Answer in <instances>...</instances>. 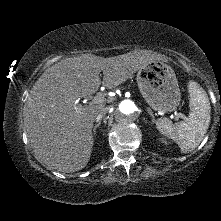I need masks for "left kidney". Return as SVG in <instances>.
Returning <instances> with one entry per match:
<instances>
[{
  "label": "left kidney",
  "instance_id": "1",
  "mask_svg": "<svg viewBox=\"0 0 221 221\" xmlns=\"http://www.w3.org/2000/svg\"><path fill=\"white\" fill-rule=\"evenodd\" d=\"M162 143L167 144V141L164 138H161Z\"/></svg>",
  "mask_w": 221,
  "mask_h": 221
}]
</instances>
